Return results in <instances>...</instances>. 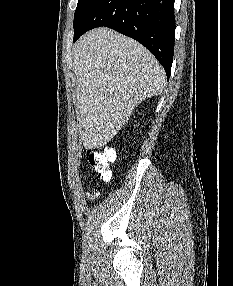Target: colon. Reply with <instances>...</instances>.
Returning <instances> with one entry per match:
<instances>
[{
  "instance_id": "1",
  "label": "colon",
  "mask_w": 233,
  "mask_h": 286,
  "mask_svg": "<svg viewBox=\"0 0 233 286\" xmlns=\"http://www.w3.org/2000/svg\"><path fill=\"white\" fill-rule=\"evenodd\" d=\"M90 166L98 172L102 179L108 181L111 177L110 166L115 159V152L111 148L91 149L87 151Z\"/></svg>"
}]
</instances>
